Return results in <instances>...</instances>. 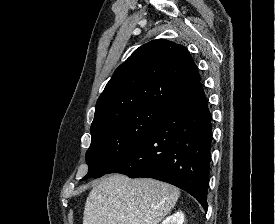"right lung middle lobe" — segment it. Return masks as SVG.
<instances>
[{"mask_svg": "<svg viewBox=\"0 0 275 224\" xmlns=\"http://www.w3.org/2000/svg\"><path fill=\"white\" fill-rule=\"evenodd\" d=\"M165 111L142 107L91 127L92 142L86 153L89 170L82 180L107 174L149 135Z\"/></svg>", "mask_w": 275, "mask_h": 224, "instance_id": "obj_1", "label": "right lung middle lobe"}]
</instances>
